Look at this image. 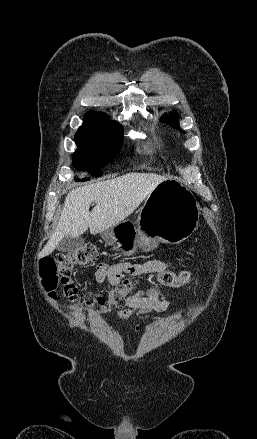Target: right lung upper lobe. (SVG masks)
<instances>
[{"mask_svg": "<svg viewBox=\"0 0 257 439\" xmlns=\"http://www.w3.org/2000/svg\"><path fill=\"white\" fill-rule=\"evenodd\" d=\"M84 120H103L107 122H112L106 114L96 111L87 112Z\"/></svg>", "mask_w": 257, "mask_h": 439, "instance_id": "cb5924a9", "label": "right lung upper lobe"}]
</instances>
